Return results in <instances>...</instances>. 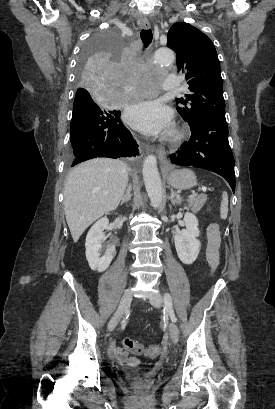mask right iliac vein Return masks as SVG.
<instances>
[{
	"mask_svg": "<svg viewBox=\"0 0 275 409\" xmlns=\"http://www.w3.org/2000/svg\"><path fill=\"white\" fill-rule=\"evenodd\" d=\"M133 298V292L131 289H128L124 292L120 304L116 310V312L114 313V315L112 316L109 324H108V329L109 331H113L116 327V325L119 323L123 313L128 309V307L130 306L131 300Z\"/></svg>",
	"mask_w": 275,
	"mask_h": 409,
	"instance_id": "obj_1",
	"label": "right iliac vein"
}]
</instances>
